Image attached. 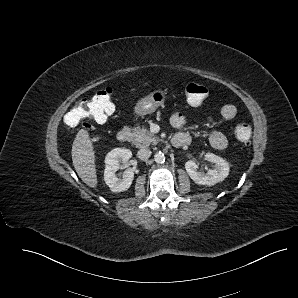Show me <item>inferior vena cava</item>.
Returning a JSON list of instances; mask_svg holds the SVG:
<instances>
[{
  "label": "inferior vena cava",
  "mask_w": 298,
  "mask_h": 298,
  "mask_svg": "<svg viewBox=\"0 0 298 298\" xmlns=\"http://www.w3.org/2000/svg\"><path fill=\"white\" fill-rule=\"evenodd\" d=\"M151 156V151L147 148H142L137 152V157L141 160L148 159Z\"/></svg>",
  "instance_id": "1"
}]
</instances>
